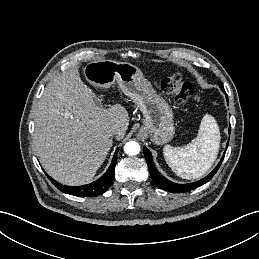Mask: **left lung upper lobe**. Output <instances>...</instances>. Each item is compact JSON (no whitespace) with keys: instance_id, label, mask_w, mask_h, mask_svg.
Returning a JSON list of instances; mask_svg holds the SVG:
<instances>
[{"instance_id":"5c2ea615","label":"left lung upper lobe","mask_w":259,"mask_h":259,"mask_svg":"<svg viewBox=\"0 0 259 259\" xmlns=\"http://www.w3.org/2000/svg\"><path fill=\"white\" fill-rule=\"evenodd\" d=\"M219 87L221 88V90H222L223 92H225V90H224V87H223L222 83H219Z\"/></svg>"}]
</instances>
